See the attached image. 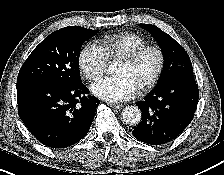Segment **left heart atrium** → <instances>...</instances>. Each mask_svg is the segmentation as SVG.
<instances>
[{
  "mask_svg": "<svg viewBox=\"0 0 224 175\" xmlns=\"http://www.w3.org/2000/svg\"><path fill=\"white\" fill-rule=\"evenodd\" d=\"M134 84L125 76L105 77L94 83L92 93L108 102H121L130 99L136 92Z\"/></svg>",
  "mask_w": 224,
  "mask_h": 175,
  "instance_id": "39dd6f15",
  "label": "left heart atrium"
}]
</instances>
